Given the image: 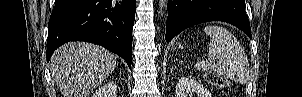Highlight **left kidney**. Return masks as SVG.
Returning a JSON list of instances; mask_svg holds the SVG:
<instances>
[{
    "instance_id": "left-kidney-1",
    "label": "left kidney",
    "mask_w": 302,
    "mask_h": 97,
    "mask_svg": "<svg viewBox=\"0 0 302 97\" xmlns=\"http://www.w3.org/2000/svg\"><path fill=\"white\" fill-rule=\"evenodd\" d=\"M175 92L176 97H211V93L191 77H181Z\"/></svg>"
}]
</instances>
